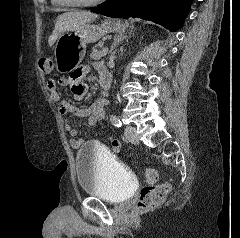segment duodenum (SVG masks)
Instances as JSON below:
<instances>
[{
    "label": "duodenum",
    "instance_id": "1",
    "mask_svg": "<svg viewBox=\"0 0 240 238\" xmlns=\"http://www.w3.org/2000/svg\"><path fill=\"white\" fill-rule=\"evenodd\" d=\"M99 79L102 87V97H106L111 86V78L107 72H102Z\"/></svg>",
    "mask_w": 240,
    "mask_h": 238
}]
</instances>
